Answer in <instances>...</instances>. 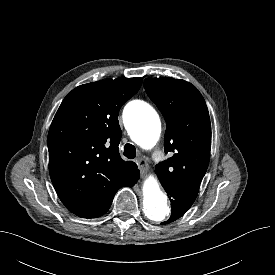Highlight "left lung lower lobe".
I'll list each match as a JSON object with an SVG mask.
<instances>
[{"instance_id": "1", "label": "left lung lower lobe", "mask_w": 275, "mask_h": 275, "mask_svg": "<svg viewBox=\"0 0 275 275\" xmlns=\"http://www.w3.org/2000/svg\"><path fill=\"white\" fill-rule=\"evenodd\" d=\"M162 186L164 187L167 195L171 200L172 214L168 221L165 223H170L180 218L185 214L188 209L193 204L198 191L191 188L177 187L170 184H167L164 180L159 178Z\"/></svg>"}]
</instances>
